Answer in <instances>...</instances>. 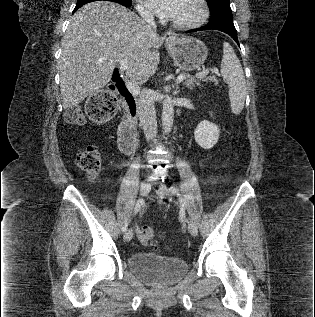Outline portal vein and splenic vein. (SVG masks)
<instances>
[{"mask_svg": "<svg viewBox=\"0 0 315 317\" xmlns=\"http://www.w3.org/2000/svg\"><path fill=\"white\" fill-rule=\"evenodd\" d=\"M129 62L127 59H122L120 61V71H125L128 68ZM209 73V70H203L201 72H198L196 74L197 78H202L205 77L207 74ZM185 79V75L184 74H180L177 77V83L182 82ZM126 86L128 88V90L133 94V95H139L140 94V88L136 85V83L132 82V81H127L126 82Z\"/></svg>", "mask_w": 315, "mask_h": 317, "instance_id": "portal-vein-and-splenic-vein-1", "label": "portal vein and splenic vein"}]
</instances>
